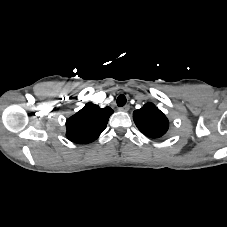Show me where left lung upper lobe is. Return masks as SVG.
<instances>
[{
  "label": "left lung upper lobe",
  "instance_id": "1",
  "mask_svg": "<svg viewBox=\"0 0 227 227\" xmlns=\"http://www.w3.org/2000/svg\"><path fill=\"white\" fill-rule=\"evenodd\" d=\"M133 119L138 129L151 138L163 136L169 127L167 117L153 103H147L141 109L135 110Z\"/></svg>",
  "mask_w": 227,
  "mask_h": 227
}]
</instances>
